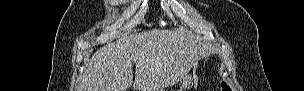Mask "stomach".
<instances>
[{
    "label": "stomach",
    "instance_id": "stomach-1",
    "mask_svg": "<svg viewBox=\"0 0 304 91\" xmlns=\"http://www.w3.org/2000/svg\"><path fill=\"white\" fill-rule=\"evenodd\" d=\"M194 81V75L192 76L191 74H189V72L184 76V78L181 80V84L183 88H189ZM159 91H164L163 89L159 90Z\"/></svg>",
    "mask_w": 304,
    "mask_h": 91
}]
</instances>
